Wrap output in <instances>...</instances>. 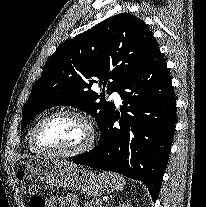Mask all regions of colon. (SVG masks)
<instances>
[{"label":"colon","mask_w":206,"mask_h":207,"mask_svg":"<svg viewBox=\"0 0 206 207\" xmlns=\"http://www.w3.org/2000/svg\"><path fill=\"white\" fill-rule=\"evenodd\" d=\"M16 178L21 190L30 198V207H46L44 199L35 193L36 181L32 175L23 170H19Z\"/></svg>","instance_id":"obj_1"}]
</instances>
